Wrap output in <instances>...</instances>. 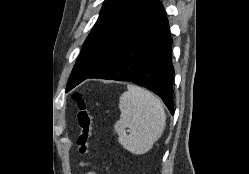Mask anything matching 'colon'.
Returning a JSON list of instances; mask_svg holds the SVG:
<instances>
[{
	"label": "colon",
	"mask_w": 249,
	"mask_h": 174,
	"mask_svg": "<svg viewBox=\"0 0 249 174\" xmlns=\"http://www.w3.org/2000/svg\"><path fill=\"white\" fill-rule=\"evenodd\" d=\"M73 99L77 103L76 123L79 129V133L76 138L77 150L80 155L90 156L91 150L89 140L92 131L91 115L80 94H74Z\"/></svg>",
	"instance_id": "5ec220e1"
}]
</instances>
